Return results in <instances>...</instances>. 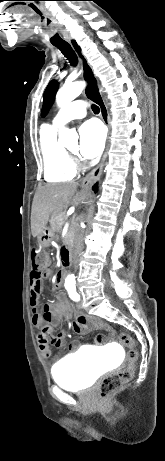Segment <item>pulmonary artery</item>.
Here are the masks:
<instances>
[{
  "label": "pulmonary artery",
  "instance_id": "pulmonary-artery-1",
  "mask_svg": "<svg viewBox=\"0 0 165 461\" xmlns=\"http://www.w3.org/2000/svg\"><path fill=\"white\" fill-rule=\"evenodd\" d=\"M86 115V104L82 100H76L62 108L53 119V124L60 127L73 119H80Z\"/></svg>",
  "mask_w": 165,
  "mask_h": 461
}]
</instances>
